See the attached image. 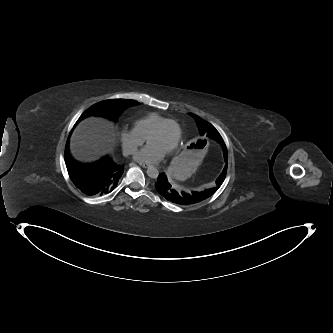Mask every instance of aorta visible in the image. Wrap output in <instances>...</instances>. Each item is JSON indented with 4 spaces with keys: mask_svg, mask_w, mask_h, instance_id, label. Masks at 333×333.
<instances>
[{
    "mask_svg": "<svg viewBox=\"0 0 333 333\" xmlns=\"http://www.w3.org/2000/svg\"><path fill=\"white\" fill-rule=\"evenodd\" d=\"M147 174L150 178H157L159 175V171L155 167H149L147 170Z\"/></svg>",
    "mask_w": 333,
    "mask_h": 333,
    "instance_id": "762f6f07",
    "label": "aorta"
}]
</instances>
